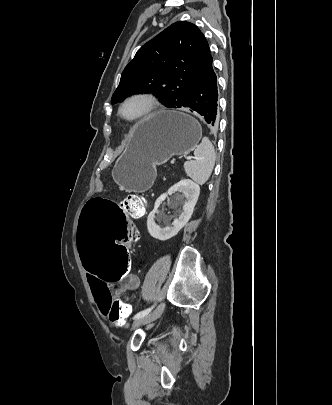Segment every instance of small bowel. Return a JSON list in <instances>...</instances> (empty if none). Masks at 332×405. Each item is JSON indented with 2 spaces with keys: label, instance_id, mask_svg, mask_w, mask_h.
Wrapping results in <instances>:
<instances>
[{
  "label": "small bowel",
  "instance_id": "small-bowel-1",
  "mask_svg": "<svg viewBox=\"0 0 332 405\" xmlns=\"http://www.w3.org/2000/svg\"><path fill=\"white\" fill-rule=\"evenodd\" d=\"M130 215L132 214L130 213ZM132 217H134V215H132ZM87 276L95 303L104 316H106L107 305L112 293L124 294L126 292L135 291L140 285L139 277L133 273L124 275L123 281H118L116 285H111L110 281H101L99 275ZM125 300L127 301L128 297H125ZM126 306L131 307L128 303H126Z\"/></svg>",
  "mask_w": 332,
  "mask_h": 405
}]
</instances>
